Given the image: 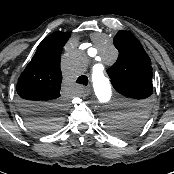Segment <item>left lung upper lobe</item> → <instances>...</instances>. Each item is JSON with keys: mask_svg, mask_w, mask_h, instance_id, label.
Here are the masks:
<instances>
[{"mask_svg": "<svg viewBox=\"0 0 174 174\" xmlns=\"http://www.w3.org/2000/svg\"><path fill=\"white\" fill-rule=\"evenodd\" d=\"M119 51L116 63L108 69V75L116 91L132 98L131 110L123 117L111 118V132L127 137L138 131L146 122L152 94L151 60L140 42L129 32L121 30L113 39Z\"/></svg>", "mask_w": 174, "mask_h": 174, "instance_id": "obj_1", "label": "left lung upper lobe"}]
</instances>
